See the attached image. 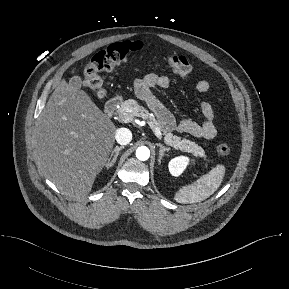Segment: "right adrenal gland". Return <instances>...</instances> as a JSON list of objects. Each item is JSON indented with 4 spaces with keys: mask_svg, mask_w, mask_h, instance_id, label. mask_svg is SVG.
<instances>
[{
    "mask_svg": "<svg viewBox=\"0 0 289 289\" xmlns=\"http://www.w3.org/2000/svg\"><path fill=\"white\" fill-rule=\"evenodd\" d=\"M124 148V146H116L114 150L111 152L110 157L108 158L106 168L109 169L114 165L119 155V152Z\"/></svg>",
    "mask_w": 289,
    "mask_h": 289,
    "instance_id": "obj_1",
    "label": "right adrenal gland"
}]
</instances>
